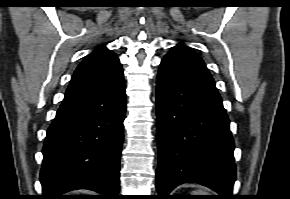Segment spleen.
I'll return each mask as SVG.
<instances>
[{
    "label": "spleen",
    "instance_id": "obj_1",
    "mask_svg": "<svg viewBox=\"0 0 290 199\" xmlns=\"http://www.w3.org/2000/svg\"><path fill=\"white\" fill-rule=\"evenodd\" d=\"M193 193H194L193 195H207V194L203 193L200 190L199 191H194Z\"/></svg>",
    "mask_w": 290,
    "mask_h": 199
}]
</instances>
